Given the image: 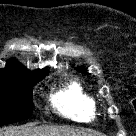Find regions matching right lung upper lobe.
Returning a JSON list of instances; mask_svg holds the SVG:
<instances>
[{"label":"right lung upper lobe","instance_id":"obj_1","mask_svg":"<svg viewBox=\"0 0 136 136\" xmlns=\"http://www.w3.org/2000/svg\"><path fill=\"white\" fill-rule=\"evenodd\" d=\"M47 69L30 71L17 60L11 59L4 69H0V80H9L18 77L36 78L47 73Z\"/></svg>","mask_w":136,"mask_h":136}]
</instances>
